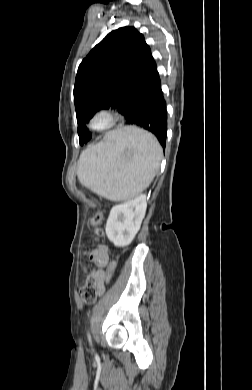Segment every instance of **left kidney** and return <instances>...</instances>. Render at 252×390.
<instances>
[{
  "label": "left kidney",
  "mask_w": 252,
  "mask_h": 390,
  "mask_svg": "<svg viewBox=\"0 0 252 390\" xmlns=\"http://www.w3.org/2000/svg\"><path fill=\"white\" fill-rule=\"evenodd\" d=\"M146 208V195L142 194L111 209L105 230L116 247H125L132 242L140 229Z\"/></svg>",
  "instance_id": "obj_1"
}]
</instances>
